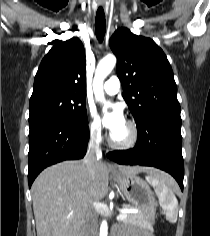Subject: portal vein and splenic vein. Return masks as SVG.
I'll use <instances>...</instances> for the list:
<instances>
[{
	"label": "portal vein and splenic vein",
	"instance_id": "portal-vein-and-splenic-vein-1",
	"mask_svg": "<svg viewBox=\"0 0 210 236\" xmlns=\"http://www.w3.org/2000/svg\"><path fill=\"white\" fill-rule=\"evenodd\" d=\"M128 211H130V210H128V209L123 210V211L117 216V219H118V220H123V219H125L126 216H127V212H128Z\"/></svg>",
	"mask_w": 210,
	"mask_h": 236
}]
</instances>
